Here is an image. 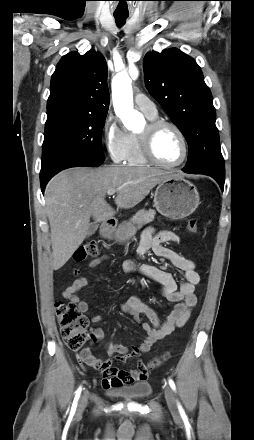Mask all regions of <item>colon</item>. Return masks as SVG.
<instances>
[{
    "instance_id": "5ec220e1",
    "label": "colon",
    "mask_w": 254,
    "mask_h": 440,
    "mask_svg": "<svg viewBox=\"0 0 254 440\" xmlns=\"http://www.w3.org/2000/svg\"><path fill=\"white\" fill-rule=\"evenodd\" d=\"M187 229L191 233L198 231V221L191 218L188 222ZM99 254L98 246L95 242H87L79 246L73 253V260L83 262L89 257H96ZM56 313L58 323L60 325V333L66 346L73 351H82L89 339V319L82 315L73 303H56ZM170 357L169 352L153 359L148 368L153 369L166 361Z\"/></svg>"
}]
</instances>
